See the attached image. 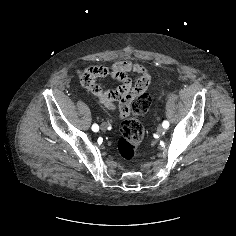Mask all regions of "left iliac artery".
I'll list each match as a JSON object with an SVG mask.
<instances>
[{"label": "left iliac artery", "instance_id": "left-iliac-artery-1", "mask_svg": "<svg viewBox=\"0 0 236 236\" xmlns=\"http://www.w3.org/2000/svg\"><path fill=\"white\" fill-rule=\"evenodd\" d=\"M162 126L167 129L169 127V122L168 121H163Z\"/></svg>", "mask_w": 236, "mask_h": 236}]
</instances>
